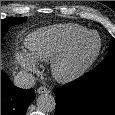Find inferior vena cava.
Returning a JSON list of instances; mask_svg holds the SVG:
<instances>
[{
  "instance_id": "inferior-vena-cava-1",
  "label": "inferior vena cava",
  "mask_w": 115,
  "mask_h": 115,
  "mask_svg": "<svg viewBox=\"0 0 115 115\" xmlns=\"http://www.w3.org/2000/svg\"><path fill=\"white\" fill-rule=\"evenodd\" d=\"M36 79L33 74L20 71L14 77V85L19 88L29 89L34 87Z\"/></svg>"
}]
</instances>
